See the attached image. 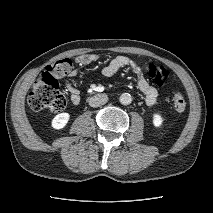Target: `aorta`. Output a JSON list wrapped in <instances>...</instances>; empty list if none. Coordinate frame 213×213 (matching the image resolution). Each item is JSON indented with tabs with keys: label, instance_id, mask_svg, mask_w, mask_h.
<instances>
[{
	"label": "aorta",
	"instance_id": "obj_1",
	"mask_svg": "<svg viewBox=\"0 0 213 213\" xmlns=\"http://www.w3.org/2000/svg\"><path fill=\"white\" fill-rule=\"evenodd\" d=\"M120 103L123 105H129L132 102V97L129 93H123L120 96Z\"/></svg>",
	"mask_w": 213,
	"mask_h": 213
}]
</instances>
